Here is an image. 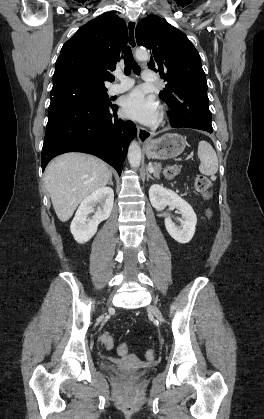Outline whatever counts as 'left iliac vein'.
<instances>
[{"mask_svg":"<svg viewBox=\"0 0 264 419\" xmlns=\"http://www.w3.org/2000/svg\"><path fill=\"white\" fill-rule=\"evenodd\" d=\"M149 311L154 314V316L156 318H158L159 320H162V315L160 313V311L155 307V306H151L149 307Z\"/></svg>","mask_w":264,"mask_h":419,"instance_id":"left-iliac-vein-1","label":"left iliac vein"}]
</instances>
